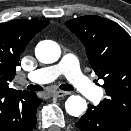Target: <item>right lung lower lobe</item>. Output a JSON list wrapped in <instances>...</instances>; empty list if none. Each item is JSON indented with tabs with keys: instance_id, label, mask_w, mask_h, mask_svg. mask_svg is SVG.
Here are the masks:
<instances>
[{
	"instance_id": "1",
	"label": "right lung lower lobe",
	"mask_w": 131,
	"mask_h": 131,
	"mask_svg": "<svg viewBox=\"0 0 131 131\" xmlns=\"http://www.w3.org/2000/svg\"><path fill=\"white\" fill-rule=\"evenodd\" d=\"M41 102L35 92L1 93L0 131H32L36 126V111Z\"/></svg>"
}]
</instances>
